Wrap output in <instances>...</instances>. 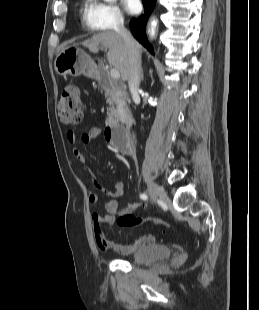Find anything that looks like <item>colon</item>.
<instances>
[{"label":"colon","instance_id":"colon-1","mask_svg":"<svg viewBox=\"0 0 259 310\" xmlns=\"http://www.w3.org/2000/svg\"><path fill=\"white\" fill-rule=\"evenodd\" d=\"M57 112L60 121L65 124H76L81 121L83 105L78 87L68 85L63 89L58 102ZM144 221V219L135 216L131 212H125L118 218L117 223L122 228H134ZM148 221L155 226H169L166 221L157 218L149 219Z\"/></svg>","mask_w":259,"mask_h":310}]
</instances>
